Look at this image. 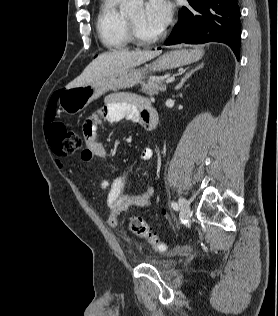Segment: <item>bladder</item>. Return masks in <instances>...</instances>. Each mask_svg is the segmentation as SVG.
<instances>
[{"label":"bladder","mask_w":278,"mask_h":316,"mask_svg":"<svg viewBox=\"0 0 278 316\" xmlns=\"http://www.w3.org/2000/svg\"><path fill=\"white\" fill-rule=\"evenodd\" d=\"M144 263L156 268L160 272L169 271L173 264L170 260H146Z\"/></svg>","instance_id":"bladder-1"}]
</instances>
